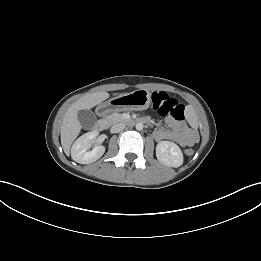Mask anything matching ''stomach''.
<instances>
[{
	"label": "stomach",
	"instance_id": "1",
	"mask_svg": "<svg viewBox=\"0 0 261 261\" xmlns=\"http://www.w3.org/2000/svg\"><path fill=\"white\" fill-rule=\"evenodd\" d=\"M151 93L146 89L135 90L130 93L118 95L99 105L98 110L109 114L128 110H145L150 106Z\"/></svg>",
	"mask_w": 261,
	"mask_h": 261
}]
</instances>
